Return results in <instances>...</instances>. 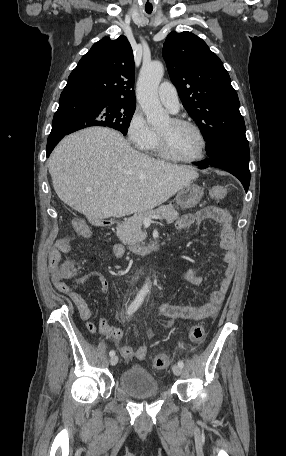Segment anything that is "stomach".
Here are the masks:
<instances>
[{
    "mask_svg": "<svg viewBox=\"0 0 286 456\" xmlns=\"http://www.w3.org/2000/svg\"><path fill=\"white\" fill-rule=\"evenodd\" d=\"M203 196V190L197 184L190 183L181 190L176 196L178 206L183 209H190L195 207Z\"/></svg>",
    "mask_w": 286,
    "mask_h": 456,
    "instance_id": "obj_1",
    "label": "stomach"
}]
</instances>
